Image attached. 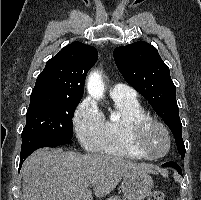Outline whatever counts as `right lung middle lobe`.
<instances>
[{
	"mask_svg": "<svg viewBox=\"0 0 201 200\" xmlns=\"http://www.w3.org/2000/svg\"><path fill=\"white\" fill-rule=\"evenodd\" d=\"M81 98L31 94L22 137L46 134L65 139L73 137L72 118Z\"/></svg>",
	"mask_w": 201,
	"mask_h": 200,
	"instance_id": "1",
	"label": "right lung middle lobe"
}]
</instances>
